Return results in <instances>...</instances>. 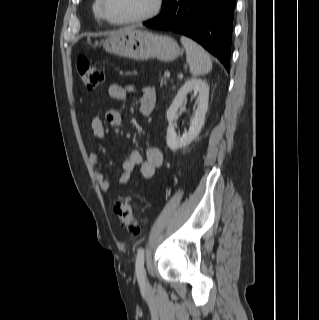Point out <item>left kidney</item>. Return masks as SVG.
<instances>
[{
  "label": "left kidney",
  "instance_id": "obj_1",
  "mask_svg": "<svg viewBox=\"0 0 319 320\" xmlns=\"http://www.w3.org/2000/svg\"><path fill=\"white\" fill-rule=\"evenodd\" d=\"M193 91L194 96L198 94V106L195 110L194 117L191 120L189 130L178 135L175 131L173 122L177 119V111L183 105L186 95ZM209 101V86L206 81L202 79L192 78L185 81L182 87L178 90L172 104L167 110L166 117L168 120V129L166 142L172 151H176L186 145L190 144L196 137H198L204 123L205 114L208 109Z\"/></svg>",
  "mask_w": 319,
  "mask_h": 320
}]
</instances>
